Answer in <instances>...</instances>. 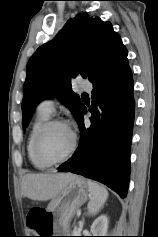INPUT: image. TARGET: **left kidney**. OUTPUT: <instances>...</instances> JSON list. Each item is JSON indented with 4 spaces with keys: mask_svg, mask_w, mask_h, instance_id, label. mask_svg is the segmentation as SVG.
Listing matches in <instances>:
<instances>
[{
    "mask_svg": "<svg viewBox=\"0 0 158 237\" xmlns=\"http://www.w3.org/2000/svg\"><path fill=\"white\" fill-rule=\"evenodd\" d=\"M108 223L106 215L99 216L91 225V233L93 236H107Z\"/></svg>",
    "mask_w": 158,
    "mask_h": 237,
    "instance_id": "obj_1",
    "label": "left kidney"
}]
</instances>
